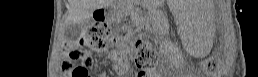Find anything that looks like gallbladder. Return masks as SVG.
Here are the masks:
<instances>
[{"label": "gallbladder", "instance_id": "1", "mask_svg": "<svg viewBox=\"0 0 258 77\" xmlns=\"http://www.w3.org/2000/svg\"><path fill=\"white\" fill-rule=\"evenodd\" d=\"M83 24H72L65 29V38L70 41H76L79 39L82 33Z\"/></svg>", "mask_w": 258, "mask_h": 77}]
</instances>
